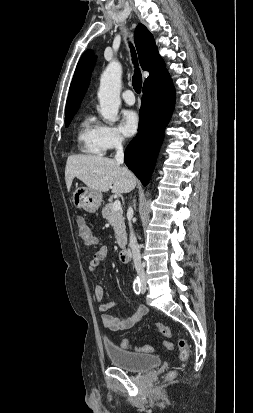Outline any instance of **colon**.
Returning <instances> with one entry per match:
<instances>
[{"instance_id":"colon-1","label":"colon","mask_w":253,"mask_h":413,"mask_svg":"<svg viewBox=\"0 0 253 413\" xmlns=\"http://www.w3.org/2000/svg\"><path fill=\"white\" fill-rule=\"evenodd\" d=\"M77 224H78V233H79V237L81 238V240L87 244V245H93L95 243V237L91 231V229L88 227V225L84 222V220L81 217L77 218ZM157 330L164 336L167 338H171L172 337V330L170 329V327H168L167 325L163 324V323H156L155 324ZM121 346L123 348H129L131 347V344L129 342V340L127 339H123L121 341ZM164 346L167 349H172V344L170 342H165ZM177 346L179 349V356L180 359L185 361L189 358V354H190V350H189V346L186 342L185 339H179L177 342ZM140 351L142 352H152L154 350V348L151 345H144L142 347L139 348ZM174 372H171L168 375V378L171 379L174 377Z\"/></svg>"}]
</instances>
